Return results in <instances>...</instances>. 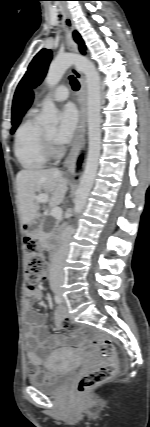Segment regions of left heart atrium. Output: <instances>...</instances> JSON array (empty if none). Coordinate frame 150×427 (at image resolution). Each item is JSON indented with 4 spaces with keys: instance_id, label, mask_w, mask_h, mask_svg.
Listing matches in <instances>:
<instances>
[{
    "instance_id": "left-heart-atrium-1",
    "label": "left heart atrium",
    "mask_w": 150,
    "mask_h": 427,
    "mask_svg": "<svg viewBox=\"0 0 150 427\" xmlns=\"http://www.w3.org/2000/svg\"><path fill=\"white\" fill-rule=\"evenodd\" d=\"M79 124L78 114L72 105H67L61 112L60 124L54 135L55 142L62 146L68 144L76 134Z\"/></svg>"
}]
</instances>
